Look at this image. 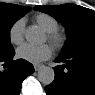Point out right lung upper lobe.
I'll return each mask as SVG.
<instances>
[{
    "label": "right lung upper lobe",
    "instance_id": "right-lung-upper-lobe-1",
    "mask_svg": "<svg viewBox=\"0 0 95 95\" xmlns=\"http://www.w3.org/2000/svg\"><path fill=\"white\" fill-rule=\"evenodd\" d=\"M8 5H11V4H8V3H1L0 4V8L4 7V6H8Z\"/></svg>",
    "mask_w": 95,
    "mask_h": 95
}]
</instances>
